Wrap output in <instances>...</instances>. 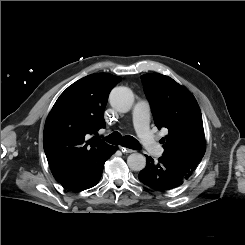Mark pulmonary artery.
Instances as JSON below:
<instances>
[{
  "mask_svg": "<svg viewBox=\"0 0 245 245\" xmlns=\"http://www.w3.org/2000/svg\"><path fill=\"white\" fill-rule=\"evenodd\" d=\"M132 120L134 129L145 150L153 156H162L164 150L156 140L149 126L150 110L146 102L139 101L135 104L132 111Z\"/></svg>",
  "mask_w": 245,
  "mask_h": 245,
  "instance_id": "e3ab8cb5",
  "label": "pulmonary artery"
}]
</instances>
